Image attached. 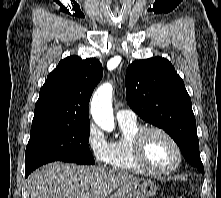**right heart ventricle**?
Listing matches in <instances>:
<instances>
[{
	"label": "right heart ventricle",
	"instance_id": "obj_1",
	"mask_svg": "<svg viewBox=\"0 0 221 198\" xmlns=\"http://www.w3.org/2000/svg\"><path fill=\"white\" fill-rule=\"evenodd\" d=\"M121 136L110 143L108 164L114 170L145 173L146 171L137 163L133 140L136 133L142 128L137 121L119 122Z\"/></svg>",
	"mask_w": 221,
	"mask_h": 198
}]
</instances>
